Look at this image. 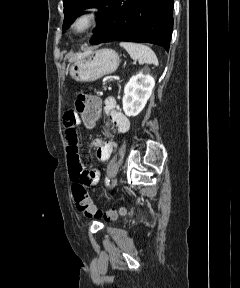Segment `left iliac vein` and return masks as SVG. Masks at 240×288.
Segmentation results:
<instances>
[{
    "label": "left iliac vein",
    "instance_id": "4c4485c4",
    "mask_svg": "<svg viewBox=\"0 0 240 288\" xmlns=\"http://www.w3.org/2000/svg\"><path fill=\"white\" fill-rule=\"evenodd\" d=\"M117 184V178L113 179L112 183H111V188H114Z\"/></svg>",
    "mask_w": 240,
    "mask_h": 288
}]
</instances>
